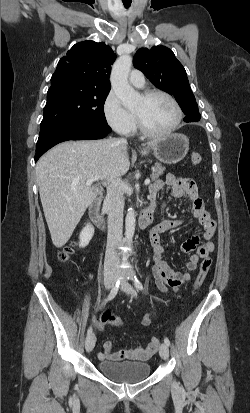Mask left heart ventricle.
Listing matches in <instances>:
<instances>
[{"label":"left heart ventricle","mask_w":250,"mask_h":413,"mask_svg":"<svg viewBox=\"0 0 250 413\" xmlns=\"http://www.w3.org/2000/svg\"><path fill=\"white\" fill-rule=\"evenodd\" d=\"M147 128L153 132H164L171 128L176 120V110L165 97L157 95L150 99L141 98L135 108Z\"/></svg>","instance_id":"b2bd125f"}]
</instances>
